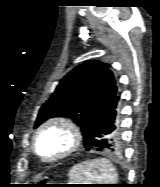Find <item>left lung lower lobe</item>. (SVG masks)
Returning <instances> with one entry per match:
<instances>
[{
  "mask_svg": "<svg viewBox=\"0 0 160 187\" xmlns=\"http://www.w3.org/2000/svg\"><path fill=\"white\" fill-rule=\"evenodd\" d=\"M119 96H115L103 109L91 131L84 135L86 149L115 152L118 150L119 140L110 135L117 130L116 115Z\"/></svg>",
  "mask_w": 160,
  "mask_h": 187,
  "instance_id": "obj_1",
  "label": "left lung lower lobe"
}]
</instances>
